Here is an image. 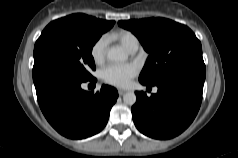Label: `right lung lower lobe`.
Returning <instances> with one entry per match:
<instances>
[{
  "mask_svg": "<svg viewBox=\"0 0 238 158\" xmlns=\"http://www.w3.org/2000/svg\"><path fill=\"white\" fill-rule=\"evenodd\" d=\"M33 81L44 116L60 134L71 139L100 132L118 98L117 90L108 85L96 93L83 90L82 83L96 79L84 80L54 65L33 68Z\"/></svg>",
  "mask_w": 238,
  "mask_h": 158,
  "instance_id": "right-lung-lower-lobe-1",
  "label": "right lung lower lobe"
}]
</instances>
